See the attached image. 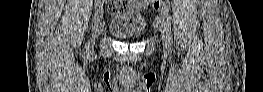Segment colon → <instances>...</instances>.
<instances>
[{
  "label": "colon",
  "instance_id": "obj_1",
  "mask_svg": "<svg viewBox=\"0 0 263 92\" xmlns=\"http://www.w3.org/2000/svg\"><path fill=\"white\" fill-rule=\"evenodd\" d=\"M155 4V9H159V6L161 3H164V2H168V1H159V0H155V1H151ZM116 9L115 8H110V11L111 12H114Z\"/></svg>",
  "mask_w": 263,
  "mask_h": 92
}]
</instances>
